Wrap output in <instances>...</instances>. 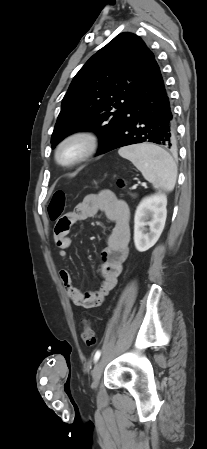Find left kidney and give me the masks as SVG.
<instances>
[{
    "label": "left kidney",
    "instance_id": "obj_1",
    "mask_svg": "<svg viewBox=\"0 0 207 449\" xmlns=\"http://www.w3.org/2000/svg\"><path fill=\"white\" fill-rule=\"evenodd\" d=\"M166 206L165 194L145 197L137 206L134 217V243L139 252L147 251L158 241L165 226ZM146 226H149V232Z\"/></svg>",
    "mask_w": 207,
    "mask_h": 449
}]
</instances>
